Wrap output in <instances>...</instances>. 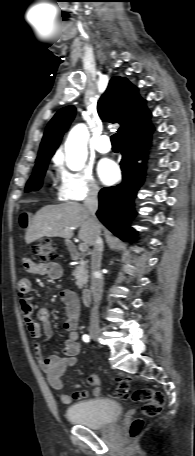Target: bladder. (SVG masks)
Listing matches in <instances>:
<instances>
[{"label": "bladder", "instance_id": "obj_1", "mask_svg": "<svg viewBox=\"0 0 195 456\" xmlns=\"http://www.w3.org/2000/svg\"><path fill=\"white\" fill-rule=\"evenodd\" d=\"M122 412V406L117 401L97 398L69 406L65 415L72 423L92 429H102L116 423L121 418Z\"/></svg>", "mask_w": 195, "mask_h": 456}]
</instances>
